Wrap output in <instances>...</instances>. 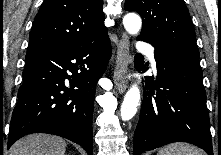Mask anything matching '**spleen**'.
<instances>
[{"label":"spleen","instance_id":"spleen-1","mask_svg":"<svg viewBox=\"0 0 221 155\" xmlns=\"http://www.w3.org/2000/svg\"><path fill=\"white\" fill-rule=\"evenodd\" d=\"M157 155H203V152L191 144L178 142L161 148Z\"/></svg>","mask_w":221,"mask_h":155}]
</instances>
